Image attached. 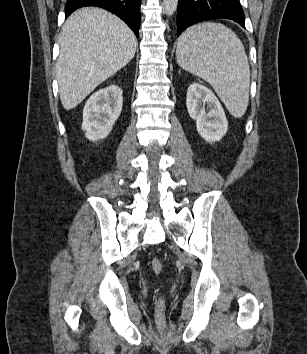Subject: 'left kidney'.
<instances>
[{
  "mask_svg": "<svg viewBox=\"0 0 307 354\" xmlns=\"http://www.w3.org/2000/svg\"><path fill=\"white\" fill-rule=\"evenodd\" d=\"M186 106L204 140L212 144L222 139L227 132L228 121L219 100L210 89L199 83L191 84L187 90Z\"/></svg>",
  "mask_w": 307,
  "mask_h": 354,
  "instance_id": "obj_1",
  "label": "left kidney"
}]
</instances>
